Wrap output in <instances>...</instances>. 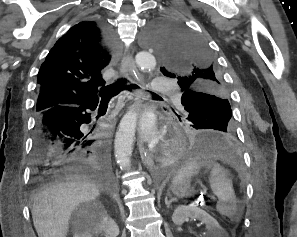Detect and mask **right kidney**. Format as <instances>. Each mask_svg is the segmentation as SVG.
<instances>
[{"label":"right kidney","mask_w":297,"mask_h":237,"mask_svg":"<svg viewBox=\"0 0 297 237\" xmlns=\"http://www.w3.org/2000/svg\"><path fill=\"white\" fill-rule=\"evenodd\" d=\"M99 231L105 237H117L119 235V227L116 222L108 215H101L93 222L89 228H86L79 237H92L91 233Z\"/></svg>","instance_id":"obj_1"}]
</instances>
